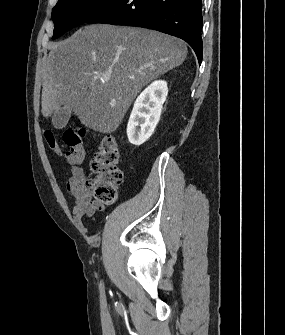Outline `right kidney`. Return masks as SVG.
I'll use <instances>...</instances> for the list:
<instances>
[{
    "instance_id": "right-kidney-1",
    "label": "right kidney",
    "mask_w": 285,
    "mask_h": 335,
    "mask_svg": "<svg viewBox=\"0 0 285 335\" xmlns=\"http://www.w3.org/2000/svg\"><path fill=\"white\" fill-rule=\"evenodd\" d=\"M167 94V82L156 80L138 96L127 126L130 144L141 146L152 136L160 120ZM138 126H140V130Z\"/></svg>"
}]
</instances>
